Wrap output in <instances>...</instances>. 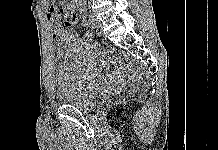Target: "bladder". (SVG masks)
<instances>
[{
    "mask_svg": "<svg viewBox=\"0 0 218 150\" xmlns=\"http://www.w3.org/2000/svg\"><path fill=\"white\" fill-rule=\"evenodd\" d=\"M71 43L70 51L57 53V90L60 103L78 108H88L95 94L94 80L98 69H91L84 64L82 51Z\"/></svg>",
    "mask_w": 218,
    "mask_h": 150,
    "instance_id": "31cf9c89",
    "label": "bladder"
}]
</instances>
